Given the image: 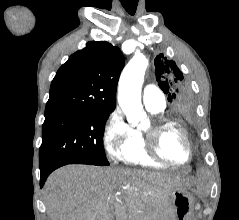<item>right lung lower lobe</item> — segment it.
<instances>
[{
  "label": "right lung lower lobe",
  "instance_id": "1",
  "mask_svg": "<svg viewBox=\"0 0 239 220\" xmlns=\"http://www.w3.org/2000/svg\"><path fill=\"white\" fill-rule=\"evenodd\" d=\"M63 166V164H58V165H54L51 166L45 170H40L41 173V178H40V186L42 187L47 179V177L49 176V174L54 171L55 169H57L58 167Z\"/></svg>",
  "mask_w": 239,
  "mask_h": 220
}]
</instances>
